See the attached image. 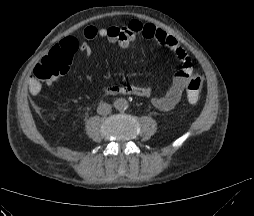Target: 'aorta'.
<instances>
[{
    "instance_id": "762f6f07",
    "label": "aorta",
    "mask_w": 254,
    "mask_h": 216,
    "mask_svg": "<svg viewBox=\"0 0 254 216\" xmlns=\"http://www.w3.org/2000/svg\"><path fill=\"white\" fill-rule=\"evenodd\" d=\"M128 101L124 98H118L114 101V107L118 111H125L128 108Z\"/></svg>"
}]
</instances>
